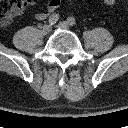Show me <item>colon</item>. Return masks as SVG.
I'll return each mask as SVG.
<instances>
[{
	"instance_id": "1",
	"label": "colon",
	"mask_w": 128,
	"mask_h": 128,
	"mask_svg": "<svg viewBox=\"0 0 128 128\" xmlns=\"http://www.w3.org/2000/svg\"><path fill=\"white\" fill-rule=\"evenodd\" d=\"M105 4L113 5L116 0H103ZM27 0H0V27H7L11 24L13 19L20 15ZM128 12V7H127Z\"/></svg>"
}]
</instances>
